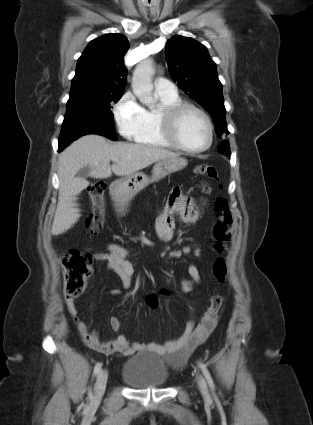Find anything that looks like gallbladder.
I'll use <instances>...</instances> for the list:
<instances>
[{"instance_id": "obj_1", "label": "gallbladder", "mask_w": 313, "mask_h": 425, "mask_svg": "<svg viewBox=\"0 0 313 425\" xmlns=\"http://www.w3.org/2000/svg\"><path fill=\"white\" fill-rule=\"evenodd\" d=\"M90 167L89 166H85V167H83V168H81L79 171H78V177L79 178H82V179H85V178H87L89 175H90Z\"/></svg>"}]
</instances>
